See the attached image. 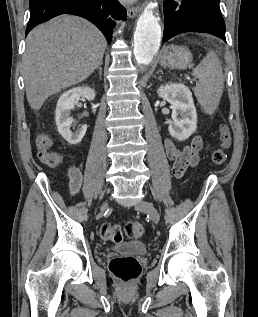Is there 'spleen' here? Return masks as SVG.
I'll use <instances>...</instances> for the list:
<instances>
[{
  "instance_id": "spleen-1",
  "label": "spleen",
  "mask_w": 258,
  "mask_h": 317,
  "mask_svg": "<svg viewBox=\"0 0 258 317\" xmlns=\"http://www.w3.org/2000/svg\"><path fill=\"white\" fill-rule=\"evenodd\" d=\"M198 78L194 86V94L206 114L215 112L224 88V78L219 58L213 50L207 52L205 58L193 70Z\"/></svg>"
}]
</instances>
